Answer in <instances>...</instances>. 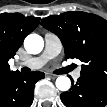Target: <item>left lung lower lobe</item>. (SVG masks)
I'll use <instances>...</instances> for the list:
<instances>
[{
	"instance_id": "obj_1",
	"label": "left lung lower lobe",
	"mask_w": 107,
	"mask_h": 107,
	"mask_svg": "<svg viewBox=\"0 0 107 107\" xmlns=\"http://www.w3.org/2000/svg\"><path fill=\"white\" fill-rule=\"evenodd\" d=\"M68 92L61 94L66 107H105L107 105V83L80 77Z\"/></svg>"
}]
</instances>
